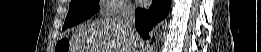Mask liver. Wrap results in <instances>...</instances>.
<instances>
[{
	"mask_svg": "<svg viewBox=\"0 0 261 52\" xmlns=\"http://www.w3.org/2000/svg\"><path fill=\"white\" fill-rule=\"evenodd\" d=\"M74 52H134L133 41L118 23V17H104L82 25L72 38Z\"/></svg>",
	"mask_w": 261,
	"mask_h": 52,
	"instance_id": "6515ba94",
	"label": "liver"
}]
</instances>
